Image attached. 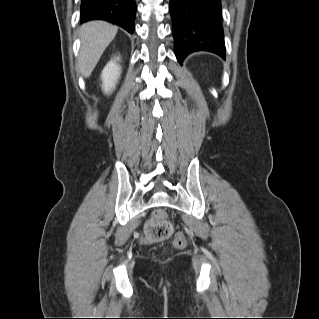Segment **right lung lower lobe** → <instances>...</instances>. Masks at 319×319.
<instances>
[{
  "label": "right lung lower lobe",
  "mask_w": 319,
  "mask_h": 319,
  "mask_svg": "<svg viewBox=\"0 0 319 319\" xmlns=\"http://www.w3.org/2000/svg\"><path fill=\"white\" fill-rule=\"evenodd\" d=\"M135 0H81V23L105 20L134 32Z\"/></svg>",
  "instance_id": "right-lung-lower-lobe-1"
}]
</instances>
